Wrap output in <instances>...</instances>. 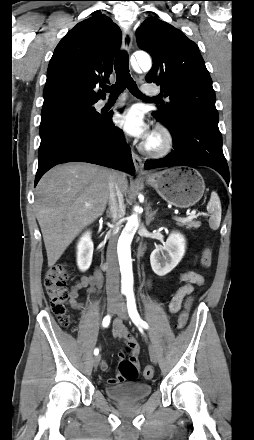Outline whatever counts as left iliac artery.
I'll return each mask as SVG.
<instances>
[{
	"instance_id": "1",
	"label": "left iliac artery",
	"mask_w": 254,
	"mask_h": 440,
	"mask_svg": "<svg viewBox=\"0 0 254 440\" xmlns=\"http://www.w3.org/2000/svg\"><path fill=\"white\" fill-rule=\"evenodd\" d=\"M126 297H127L128 313H129L131 320L133 321V323L137 327H143V328L147 329L149 327L148 324L141 319V317L137 311L134 293L131 291L127 292Z\"/></svg>"
}]
</instances>
